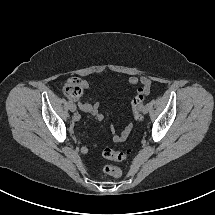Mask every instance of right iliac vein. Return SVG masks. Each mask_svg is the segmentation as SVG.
I'll list each match as a JSON object with an SVG mask.
<instances>
[{"label": "right iliac vein", "instance_id": "right-iliac-vein-1", "mask_svg": "<svg viewBox=\"0 0 215 215\" xmlns=\"http://www.w3.org/2000/svg\"><path fill=\"white\" fill-rule=\"evenodd\" d=\"M69 109L71 112H75L76 111V105L74 103H70Z\"/></svg>", "mask_w": 215, "mask_h": 215}]
</instances>
